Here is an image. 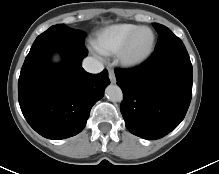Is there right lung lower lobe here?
Returning <instances> with one entry per match:
<instances>
[{
    "label": "right lung lower lobe",
    "mask_w": 219,
    "mask_h": 174,
    "mask_svg": "<svg viewBox=\"0 0 219 174\" xmlns=\"http://www.w3.org/2000/svg\"><path fill=\"white\" fill-rule=\"evenodd\" d=\"M54 52L62 56L61 63H50ZM87 54L84 45L53 43L27 55L18 81L19 104L41 136L59 140L80 133L102 98L110 83L108 72L87 73L81 67Z\"/></svg>",
    "instance_id": "right-lung-lower-lobe-1"
}]
</instances>
